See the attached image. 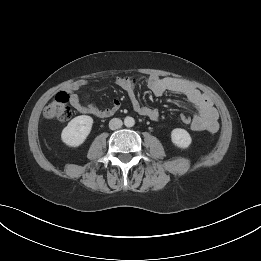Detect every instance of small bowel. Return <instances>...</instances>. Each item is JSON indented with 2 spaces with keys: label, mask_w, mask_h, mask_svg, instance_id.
I'll list each match as a JSON object with an SVG mask.
<instances>
[{
  "label": "small bowel",
  "mask_w": 261,
  "mask_h": 261,
  "mask_svg": "<svg viewBox=\"0 0 261 261\" xmlns=\"http://www.w3.org/2000/svg\"><path fill=\"white\" fill-rule=\"evenodd\" d=\"M143 83L156 96L164 93H172L184 96L196 109L197 114L192 117L191 128L194 131L216 132L218 130V112L212 101L191 84L172 77L148 76ZM116 84L128 95L133 110L141 116H145L153 121L159 119L157 109L142 105L136 97L135 89L137 82L129 77H119ZM86 85V81L80 80L68 87L69 102L73 108L81 114H91L96 117H109L119 108V100H114L109 108L100 109L94 104H83L77 91Z\"/></svg>",
  "instance_id": "1"
}]
</instances>
